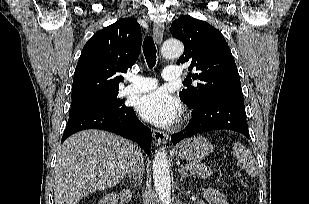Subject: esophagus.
<instances>
[{"label": "esophagus", "mask_w": 309, "mask_h": 204, "mask_svg": "<svg viewBox=\"0 0 309 204\" xmlns=\"http://www.w3.org/2000/svg\"><path fill=\"white\" fill-rule=\"evenodd\" d=\"M164 34V25L156 23L153 26V36L158 44L162 42ZM153 137L158 143H166L169 139L168 135L159 130H153Z\"/></svg>", "instance_id": "esophagus-1"}]
</instances>
